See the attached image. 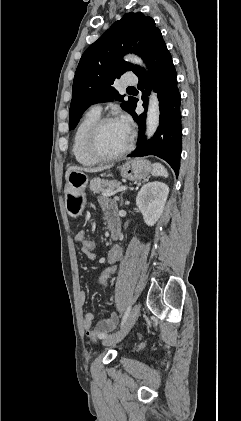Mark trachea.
I'll list each match as a JSON object with an SVG mask.
<instances>
[{"mask_svg": "<svg viewBox=\"0 0 241 421\" xmlns=\"http://www.w3.org/2000/svg\"><path fill=\"white\" fill-rule=\"evenodd\" d=\"M128 89H134L133 87H129Z\"/></svg>", "mask_w": 241, "mask_h": 421, "instance_id": "obj_1", "label": "trachea"}]
</instances>
